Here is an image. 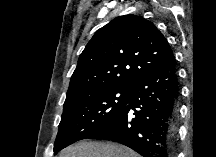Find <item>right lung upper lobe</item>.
<instances>
[{
  "label": "right lung upper lobe",
  "instance_id": "right-lung-upper-lobe-1",
  "mask_svg": "<svg viewBox=\"0 0 216 157\" xmlns=\"http://www.w3.org/2000/svg\"><path fill=\"white\" fill-rule=\"evenodd\" d=\"M171 55V46L152 22L137 15L116 17L79 56L64 107L89 91L133 85Z\"/></svg>",
  "mask_w": 216,
  "mask_h": 157
}]
</instances>
